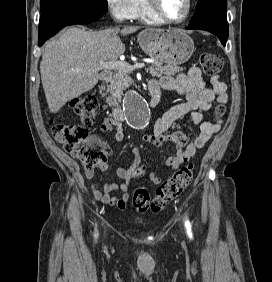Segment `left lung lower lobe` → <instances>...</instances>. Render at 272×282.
Instances as JSON below:
<instances>
[{"mask_svg": "<svg viewBox=\"0 0 272 282\" xmlns=\"http://www.w3.org/2000/svg\"><path fill=\"white\" fill-rule=\"evenodd\" d=\"M226 0H199L186 29L206 30L218 36L225 46L228 39Z\"/></svg>", "mask_w": 272, "mask_h": 282, "instance_id": "left-lung-lower-lobe-1", "label": "left lung lower lobe"}]
</instances>
